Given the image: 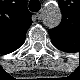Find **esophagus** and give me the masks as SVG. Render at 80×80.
<instances>
[{
  "mask_svg": "<svg viewBox=\"0 0 80 80\" xmlns=\"http://www.w3.org/2000/svg\"><path fill=\"white\" fill-rule=\"evenodd\" d=\"M36 15H37V18L40 20L42 18V16H43V10L38 12Z\"/></svg>",
  "mask_w": 80,
  "mask_h": 80,
  "instance_id": "34e87169",
  "label": "esophagus"
}]
</instances>
